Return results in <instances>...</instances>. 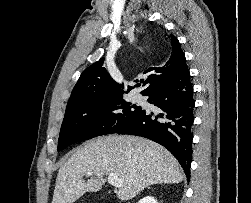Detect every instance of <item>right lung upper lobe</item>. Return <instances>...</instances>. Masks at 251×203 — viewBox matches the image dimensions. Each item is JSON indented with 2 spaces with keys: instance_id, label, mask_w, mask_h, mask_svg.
<instances>
[{
  "instance_id": "cb5924a9",
  "label": "right lung upper lobe",
  "mask_w": 251,
  "mask_h": 203,
  "mask_svg": "<svg viewBox=\"0 0 251 203\" xmlns=\"http://www.w3.org/2000/svg\"><path fill=\"white\" fill-rule=\"evenodd\" d=\"M170 45L171 55L169 60L161 67H150L144 72L147 75L145 80L147 87L141 92L142 95H145L155 85L175 76L186 67L185 55L182 52L178 39L173 35H171ZM123 87V85L118 84L111 78L104 66V58H101L82 72L72 90L67 105L122 97L123 93H125ZM132 89L133 87L128 86L126 93Z\"/></svg>"
}]
</instances>
